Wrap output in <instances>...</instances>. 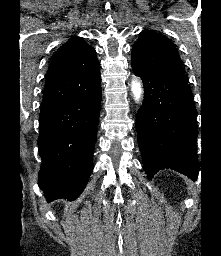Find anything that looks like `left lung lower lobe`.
I'll list each match as a JSON object with an SVG mask.
<instances>
[{"instance_id":"0a47b994","label":"left lung lower lobe","mask_w":221,"mask_h":256,"mask_svg":"<svg viewBox=\"0 0 221 256\" xmlns=\"http://www.w3.org/2000/svg\"><path fill=\"white\" fill-rule=\"evenodd\" d=\"M139 76L144 84V100L136 126L148 178L159 170L172 169L196 180V108L186 77Z\"/></svg>"}]
</instances>
